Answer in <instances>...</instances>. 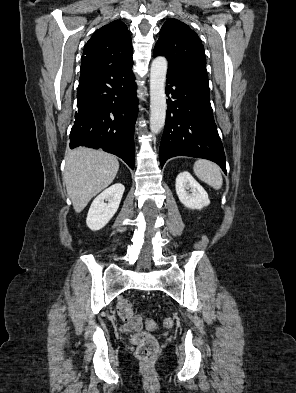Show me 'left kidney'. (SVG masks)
<instances>
[{"instance_id":"left-kidney-1","label":"left kidney","mask_w":296,"mask_h":393,"mask_svg":"<svg viewBox=\"0 0 296 393\" xmlns=\"http://www.w3.org/2000/svg\"><path fill=\"white\" fill-rule=\"evenodd\" d=\"M176 193L180 202L188 209L201 210L210 204L207 192L187 171L178 174Z\"/></svg>"}]
</instances>
